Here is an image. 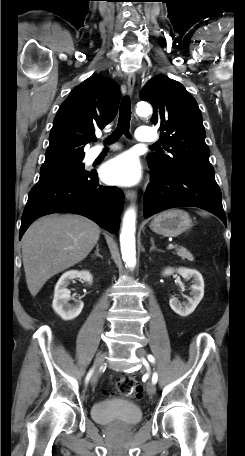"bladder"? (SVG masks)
Instances as JSON below:
<instances>
[{
	"instance_id": "31cf9c89",
	"label": "bladder",
	"mask_w": 245,
	"mask_h": 456,
	"mask_svg": "<svg viewBox=\"0 0 245 456\" xmlns=\"http://www.w3.org/2000/svg\"><path fill=\"white\" fill-rule=\"evenodd\" d=\"M142 410L125 399H108L95 403L91 408L92 419L103 425L132 426L142 419Z\"/></svg>"
}]
</instances>
